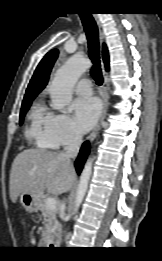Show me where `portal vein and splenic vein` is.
Wrapping results in <instances>:
<instances>
[{"instance_id":"obj_1","label":"portal vein and splenic vein","mask_w":162,"mask_h":261,"mask_svg":"<svg viewBox=\"0 0 162 261\" xmlns=\"http://www.w3.org/2000/svg\"><path fill=\"white\" fill-rule=\"evenodd\" d=\"M56 206H57L56 198H54V197L47 198V200H46V207L49 210H52V211L56 210Z\"/></svg>"}]
</instances>
